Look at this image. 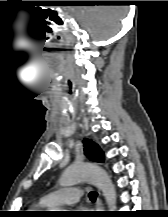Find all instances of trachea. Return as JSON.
I'll use <instances>...</instances> for the list:
<instances>
[{
    "mask_svg": "<svg viewBox=\"0 0 168 217\" xmlns=\"http://www.w3.org/2000/svg\"><path fill=\"white\" fill-rule=\"evenodd\" d=\"M89 198H90L91 201H95L96 198H97V193L94 192V191L90 192L89 193Z\"/></svg>",
    "mask_w": 168,
    "mask_h": 217,
    "instance_id": "3493384b",
    "label": "trachea"
}]
</instances>
